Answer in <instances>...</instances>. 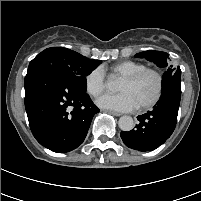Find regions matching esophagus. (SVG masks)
Masks as SVG:
<instances>
[{
	"mask_svg": "<svg viewBox=\"0 0 201 201\" xmlns=\"http://www.w3.org/2000/svg\"><path fill=\"white\" fill-rule=\"evenodd\" d=\"M108 114L113 115V116H120L121 114L118 112H114V111H106Z\"/></svg>",
	"mask_w": 201,
	"mask_h": 201,
	"instance_id": "esophagus-1",
	"label": "esophagus"
}]
</instances>
